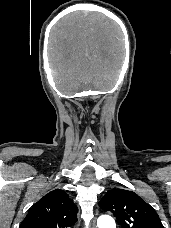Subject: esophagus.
<instances>
[{
    "mask_svg": "<svg viewBox=\"0 0 171 228\" xmlns=\"http://www.w3.org/2000/svg\"><path fill=\"white\" fill-rule=\"evenodd\" d=\"M98 212V209H96L95 210V213H97ZM92 228H96V226H95V223L93 222V224H92Z\"/></svg>",
    "mask_w": 171,
    "mask_h": 228,
    "instance_id": "esophagus-1",
    "label": "esophagus"
}]
</instances>
